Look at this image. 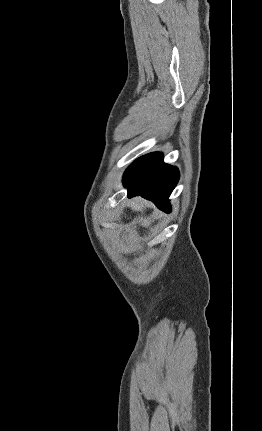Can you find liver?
I'll return each mask as SVG.
<instances>
[{"mask_svg": "<svg viewBox=\"0 0 262 431\" xmlns=\"http://www.w3.org/2000/svg\"><path fill=\"white\" fill-rule=\"evenodd\" d=\"M142 207H143V202L140 199H135L131 204V208L134 211H142Z\"/></svg>", "mask_w": 262, "mask_h": 431, "instance_id": "1", "label": "liver"}]
</instances>
